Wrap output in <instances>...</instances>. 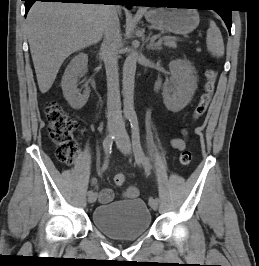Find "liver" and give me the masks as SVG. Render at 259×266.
<instances>
[{"label": "liver", "mask_w": 259, "mask_h": 266, "mask_svg": "<svg viewBox=\"0 0 259 266\" xmlns=\"http://www.w3.org/2000/svg\"><path fill=\"white\" fill-rule=\"evenodd\" d=\"M109 9L103 4H33L26 28L41 93L52 87L68 56L100 41Z\"/></svg>", "instance_id": "liver-1"}]
</instances>
